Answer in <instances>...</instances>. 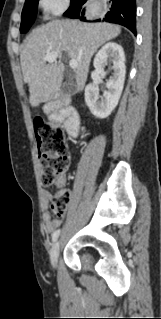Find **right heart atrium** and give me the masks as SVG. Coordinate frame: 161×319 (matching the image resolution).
<instances>
[{
	"label": "right heart atrium",
	"instance_id": "obj_1",
	"mask_svg": "<svg viewBox=\"0 0 161 319\" xmlns=\"http://www.w3.org/2000/svg\"><path fill=\"white\" fill-rule=\"evenodd\" d=\"M70 0H39V5L49 18L60 15L68 7Z\"/></svg>",
	"mask_w": 161,
	"mask_h": 319
}]
</instances>
